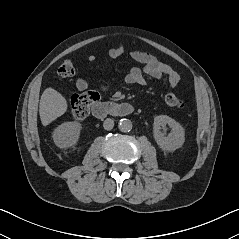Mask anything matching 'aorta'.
I'll return each mask as SVG.
<instances>
[{"label": "aorta", "mask_w": 239, "mask_h": 239, "mask_svg": "<svg viewBox=\"0 0 239 239\" xmlns=\"http://www.w3.org/2000/svg\"><path fill=\"white\" fill-rule=\"evenodd\" d=\"M132 126V122L129 119H121L118 123V128L122 132H129Z\"/></svg>", "instance_id": "762f6f07"}]
</instances>
